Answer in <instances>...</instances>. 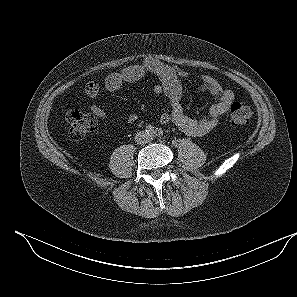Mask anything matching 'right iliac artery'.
<instances>
[{
  "label": "right iliac artery",
  "instance_id": "obj_1",
  "mask_svg": "<svg viewBox=\"0 0 297 297\" xmlns=\"http://www.w3.org/2000/svg\"><path fill=\"white\" fill-rule=\"evenodd\" d=\"M145 132L148 134V135H152L154 133V127L151 126V125H147L146 128H145Z\"/></svg>",
  "mask_w": 297,
  "mask_h": 297
}]
</instances>
